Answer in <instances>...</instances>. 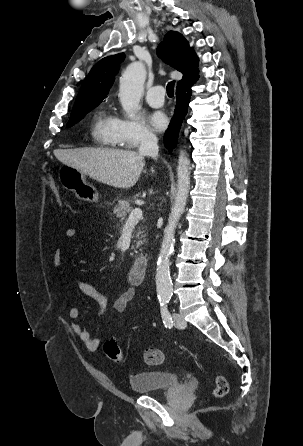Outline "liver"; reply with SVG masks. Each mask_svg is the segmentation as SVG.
Masks as SVG:
<instances>
[{
  "mask_svg": "<svg viewBox=\"0 0 303 446\" xmlns=\"http://www.w3.org/2000/svg\"><path fill=\"white\" fill-rule=\"evenodd\" d=\"M54 155L64 164L89 175L98 182L116 188H131L138 181L145 166L144 155L119 149H65ZM154 173V169L151 168Z\"/></svg>",
  "mask_w": 303,
  "mask_h": 446,
  "instance_id": "6515ba94",
  "label": "liver"
}]
</instances>
